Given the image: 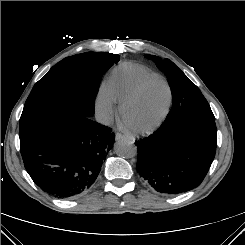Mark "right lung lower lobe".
Here are the masks:
<instances>
[{"label":"right lung lower lobe","mask_w":245,"mask_h":245,"mask_svg":"<svg viewBox=\"0 0 245 245\" xmlns=\"http://www.w3.org/2000/svg\"><path fill=\"white\" fill-rule=\"evenodd\" d=\"M98 63L92 57L80 60L92 76L100 75ZM114 140L111 128L80 116L59 119L20 139V151L28 174L41 189L71 199L94 184Z\"/></svg>","instance_id":"right-lung-lower-lobe-1"}]
</instances>
